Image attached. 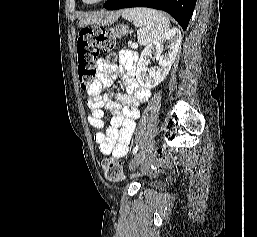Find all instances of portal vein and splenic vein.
Segmentation results:
<instances>
[{
    "label": "portal vein and splenic vein",
    "instance_id": "18ae733b",
    "mask_svg": "<svg viewBox=\"0 0 257 237\" xmlns=\"http://www.w3.org/2000/svg\"><path fill=\"white\" fill-rule=\"evenodd\" d=\"M131 47H132L133 49H136V48L138 47V45H137L136 43H132V44H131Z\"/></svg>",
    "mask_w": 257,
    "mask_h": 237
}]
</instances>
